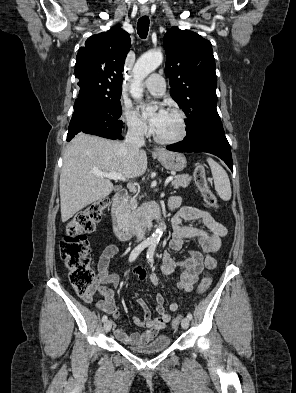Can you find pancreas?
Returning a JSON list of instances; mask_svg holds the SVG:
<instances>
[{
    "mask_svg": "<svg viewBox=\"0 0 296 393\" xmlns=\"http://www.w3.org/2000/svg\"><path fill=\"white\" fill-rule=\"evenodd\" d=\"M192 180L191 177L187 175H177L175 179L172 181L171 185L178 189L179 187H187ZM138 203L136 200V196L126 201L122 206V219L125 226L136 225L138 222V218L140 215L141 208L137 207Z\"/></svg>",
    "mask_w": 296,
    "mask_h": 393,
    "instance_id": "1",
    "label": "pancreas"
}]
</instances>
